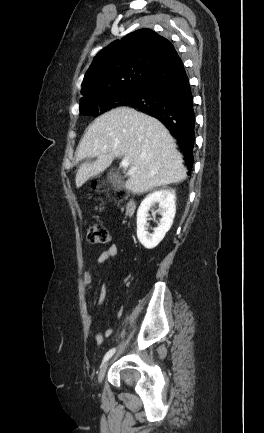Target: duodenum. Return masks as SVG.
<instances>
[{"label": "duodenum", "instance_id": "410a0bca", "mask_svg": "<svg viewBox=\"0 0 264 433\" xmlns=\"http://www.w3.org/2000/svg\"><path fill=\"white\" fill-rule=\"evenodd\" d=\"M125 209H126V214L128 216H131L134 213V211H135V203H134V201H132V200L128 201L127 204H126Z\"/></svg>", "mask_w": 264, "mask_h": 433}]
</instances>
